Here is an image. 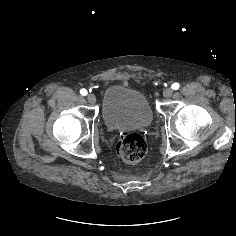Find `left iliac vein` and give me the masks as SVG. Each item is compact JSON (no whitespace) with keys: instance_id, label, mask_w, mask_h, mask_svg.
Returning <instances> with one entry per match:
<instances>
[{"instance_id":"left-iliac-vein-1","label":"left iliac vein","mask_w":236,"mask_h":236,"mask_svg":"<svg viewBox=\"0 0 236 236\" xmlns=\"http://www.w3.org/2000/svg\"><path fill=\"white\" fill-rule=\"evenodd\" d=\"M172 94H173V89L172 88H167L163 92V96L166 97V98L171 97Z\"/></svg>"}]
</instances>
